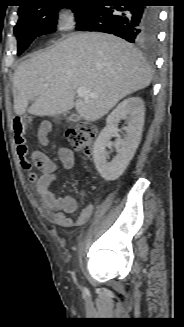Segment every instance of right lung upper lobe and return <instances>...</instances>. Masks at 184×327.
Here are the masks:
<instances>
[{
	"label": "right lung upper lobe",
	"mask_w": 184,
	"mask_h": 327,
	"mask_svg": "<svg viewBox=\"0 0 184 327\" xmlns=\"http://www.w3.org/2000/svg\"><path fill=\"white\" fill-rule=\"evenodd\" d=\"M42 0H21L20 3H22L19 7V11L23 10L24 8L36 4L38 2H41Z\"/></svg>",
	"instance_id": "cb5924a9"
}]
</instances>
